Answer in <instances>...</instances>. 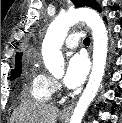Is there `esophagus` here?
Returning <instances> with one entry per match:
<instances>
[{"mask_svg": "<svg viewBox=\"0 0 122 123\" xmlns=\"http://www.w3.org/2000/svg\"><path fill=\"white\" fill-rule=\"evenodd\" d=\"M72 109H73V104H70L69 106L65 107V108L62 110L61 114H62L63 116H69V115L71 114Z\"/></svg>", "mask_w": 122, "mask_h": 123, "instance_id": "esophagus-1", "label": "esophagus"}]
</instances>
